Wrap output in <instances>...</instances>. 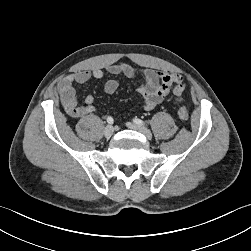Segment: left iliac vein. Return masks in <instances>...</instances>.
<instances>
[{
  "label": "left iliac vein",
  "instance_id": "obj_1",
  "mask_svg": "<svg viewBox=\"0 0 251 251\" xmlns=\"http://www.w3.org/2000/svg\"><path fill=\"white\" fill-rule=\"evenodd\" d=\"M126 126L128 128H130V129H132V130H136V131L141 132L143 135L146 136L147 139H149V140L152 139V133L146 127L141 126V125H136V124L131 123V122H127Z\"/></svg>",
  "mask_w": 251,
  "mask_h": 251
}]
</instances>
